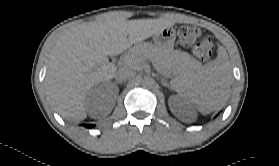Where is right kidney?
<instances>
[{"instance_id":"right-kidney-1","label":"right kidney","mask_w":279,"mask_h":166,"mask_svg":"<svg viewBox=\"0 0 279 166\" xmlns=\"http://www.w3.org/2000/svg\"><path fill=\"white\" fill-rule=\"evenodd\" d=\"M119 89L115 87L114 89L108 85H101L90 90L86 96V103L88 105L95 106L103 97H116L118 95Z\"/></svg>"}]
</instances>
